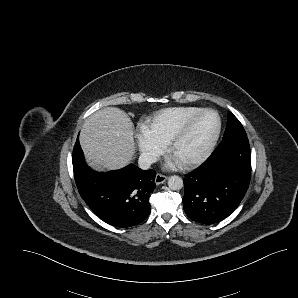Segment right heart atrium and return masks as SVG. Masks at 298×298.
<instances>
[{"label":"right heart atrium","instance_id":"1","mask_svg":"<svg viewBox=\"0 0 298 298\" xmlns=\"http://www.w3.org/2000/svg\"><path fill=\"white\" fill-rule=\"evenodd\" d=\"M140 156L146 163H151L166 150V142L161 134L149 125H142L136 131Z\"/></svg>","mask_w":298,"mask_h":298}]
</instances>
